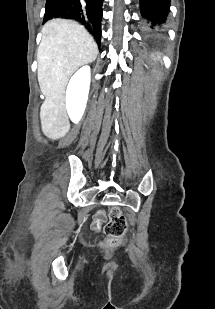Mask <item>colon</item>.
Wrapping results in <instances>:
<instances>
[{
	"instance_id": "5ec220e1",
	"label": "colon",
	"mask_w": 215,
	"mask_h": 309,
	"mask_svg": "<svg viewBox=\"0 0 215 309\" xmlns=\"http://www.w3.org/2000/svg\"><path fill=\"white\" fill-rule=\"evenodd\" d=\"M127 228L125 217L118 209H113L108 222L104 226V233L107 236V243L115 245L117 240L122 237Z\"/></svg>"
}]
</instances>
